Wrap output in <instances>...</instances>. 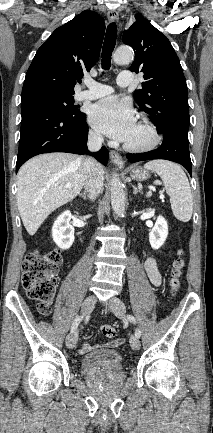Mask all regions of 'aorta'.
Instances as JSON below:
<instances>
[{
    "label": "aorta",
    "mask_w": 213,
    "mask_h": 433,
    "mask_svg": "<svg viewBox=\"0 0 213 433\" xmlns=\"http://www.w3.org/2000/svg\"><path fill=\"white\" fill-rule=\"evenodd\" d=\"M134 53L130 47H119L113 56L116 64L123 65L133 60ZM111 205L116 215L123 217L125 212V193L123 184L118 175L114 173L110 180Z\"/></svg>",
    "instance_id": "obj_1"
}]
</instances>
